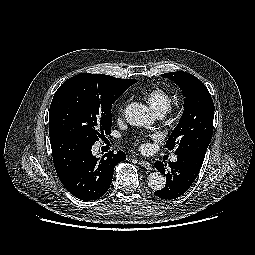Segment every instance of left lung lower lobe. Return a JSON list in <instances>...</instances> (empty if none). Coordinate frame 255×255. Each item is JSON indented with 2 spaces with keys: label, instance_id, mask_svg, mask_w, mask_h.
Listing matches in <instances>:
<instances>
[{
  "label": "left lung lower lobe",
  "instance_id": "obj_1",
  "mask_svg": "<svg viewBox=\"0 0 255 255\" xmlns=\"http://www.w3.org/2000/svg\"><path fill=\"white\" fill-rule=\"evenodd\" d=\"M203 160L195 154H180L176 162H169L170 169L161 161L155 162V168L166 176V185L154 194L161 199H175L184 194L196 179Z\"/></svg>",
  "mask_w": 255,
  "mask_h": 255
}]
</instances>
